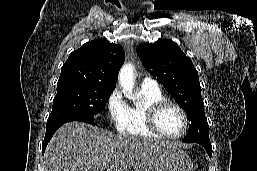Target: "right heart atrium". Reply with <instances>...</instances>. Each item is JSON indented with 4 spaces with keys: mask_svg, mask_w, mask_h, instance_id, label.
Segmentation results:
<instances>
[{
    "mask_svg": "<svg viewBox=\"0 0 257 171\" xmlns=\"http://www.w3.org/2000/svg\"><path fill=\"white\" fill-rule=\"evenodd\" d=\"M106 109L110 123L117 128H121L127 112V104L119 90H114L106 101Z\"/></svg>",
    "mask_w": 257,
    "mask_h": 171,
    "instance_id": "obj_1",
    "label": "right heart atrium"
}]
</instances>
